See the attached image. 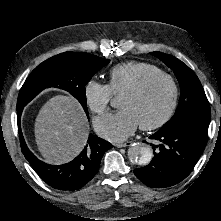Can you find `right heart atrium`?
<instances>
[{
	"mask_svg": "<svg viewBox=\"0 0 221 221\" xmlns=\"http://www.w3.org/2000/svg\"><path fill=\"white\" fill-rule=\"evenodd\" d=\"M84 98L90 110L100 116L105 114L112 101V92L107 84L90 79L84 85Z\"/></svg>",
	"mask_w": 221,
	"mask_h": 221,
	"instance_id": "right-heart-atrium-1",
	"label": "right heart atrium"
}]
</instances>
